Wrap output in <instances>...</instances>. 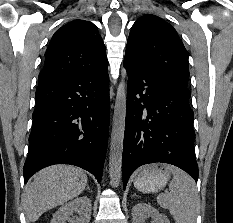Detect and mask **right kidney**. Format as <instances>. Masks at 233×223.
<instances>
[{"label": "right kidney", "instance_id": "right-kidney-1", "mask_svg": "<svg viewBox=\"0 0 233 223\" xmlns=\"http://www.w3.org/2000/svg\"><path fill=\"white\" fill-rule=\"evenodd\" d=\"M91 209V199H89L87 195L75 197L72 201L63 203L58 211L53 213L51 223H66L67 219H70V215H74V213H77L75 223H89L91 219Z\"/></svg>", "mask_w": 233, "mask_h": 223}]
</instances>
